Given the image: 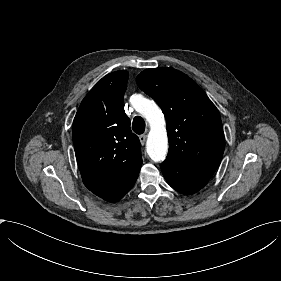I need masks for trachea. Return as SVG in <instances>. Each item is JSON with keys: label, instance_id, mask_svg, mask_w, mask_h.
I'll list each match as a JSON object with an SVG mask.
<instances>
[{"label": "trachea", "instance_id": "trachea-1", "mask_svg": "<svg viewBox=\"0 0 281 281\" xmlns=\"http://www.w3.org/2000/svg\"><path fill=\"white\" fill-rule=\"evenodd\" d=\"M132 129L136 134H142L145 131V122L142 117L136 116L133 119Z\"/></svg>", "mask_w": 281, "mask_h": 281}]
</instances>
